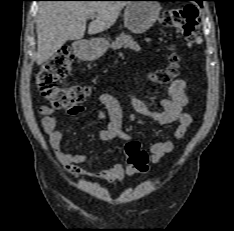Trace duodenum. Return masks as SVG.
<instances>
[{"label":"duodenum","mask_w":234,"mask_h":231,"mask_svg":"<svg viewBox=\"0 0 234 231\" xmlns=\"http://www.w3.org/2000/svg\"><path fill=\"white\" fill-rule=\"evenodd\" d=\"M83 49H84V48H83V46H82V45H80V44H79V45H77V50H79V51H83Z\"/></svg>","instance_id":"1"}]
</instances>
